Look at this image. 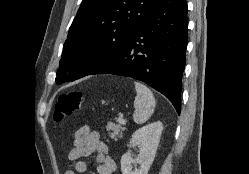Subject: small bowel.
Instances as JSON below:
<instances>
[{
	"label": "small bowel",
	"mask_w": 249,
	"mask_h": 174,
	"mask_svg": "<svg viewBox=\"0 0 249 174\" xmlns=\"http://www.w3.org/2000/svg\"><path fill=\"white\" fill-rule=\"evenodd\" d=\"M92 155L98 174L116 172L117 165L109 154V146L100 138L97 131L84 125L75 132L73 148L68 153V159L74 162V168L67 170L65 174L85 173L90 165L81 159Z\"/></svg>",
	"instance_id": "small-bowel-1"
}]
</instances>
